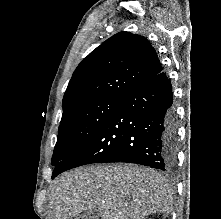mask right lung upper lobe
<instances>
[{"mask_svg":"<svg viewBox=\"0 0 221 219\" xmlns=\"http://www.w3.org/2000/svg\"><path fill=\"white\" fill-rule=\"evenodd\" d=\"M161 71L157 54L146 38L117 33L78 65L63 98V111L91 100L122 99Z\"/></svg>","mask_w":221,"mask_h":219,"instance_id":"cb5924a9","label":"right lung upper lobe"}]
</instances>
